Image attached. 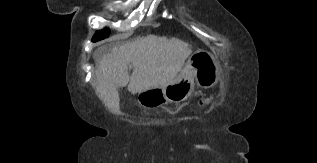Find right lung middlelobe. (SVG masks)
<instances>
[{"instance_id":"dd1d6c3e","label":"right lung middle lobe","mask_w":317,"mask_h":163,"mask_svg":"<svg viewBox=\"0 0 317 163\" xmlns=\"http://www.w3.org/2000/svg\"><path fill=\"white\" fill-rule=\"evenodd\" d=\"M109 34H110V30H109L108 28L99 30V31H97L96 34L93 36L92 41H93V42H96V41H99V40H101V39H104V38L108 37Z\"/></svg>"}]
</instances>
